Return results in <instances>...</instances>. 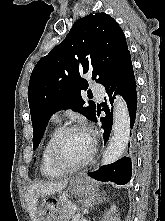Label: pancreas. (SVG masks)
<instances>
[{"label":"pancreas","mask_w":165,"mask_h":221,"mask_svg":"<svg viewBox=\"0 0 165 221\" xmlns=\"http://www.w3.org/2000/svg\"><path fill=\"white\" fill-rule=\"evenodd\" d=\"M72 203L70 201H63L61 204V218L63 221H69L74 215V210L71 208Z\"/></svg>","instance_id":"obj_1"}]
</instances>
